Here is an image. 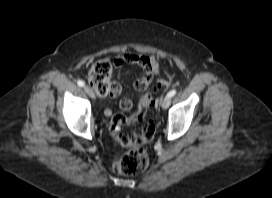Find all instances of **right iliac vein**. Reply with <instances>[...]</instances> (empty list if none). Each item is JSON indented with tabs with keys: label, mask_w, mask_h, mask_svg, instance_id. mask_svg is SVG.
<instances>
[{
	"label": "right iliac vein",
	"mask_w": 272,
	"mask_h": 198,
	"mask_svg": "<svg viewBox=\"0 0 272 198\" xmlns=\"http://www.w3.org/2000/svg\"><path fill=\"white\" fill-rule=\"evenodd\" d=\"M84 91L90 96L91 98H95V94L93 90L89 86L84 87Z\"/></svg>",
	"instance_id": "63e3f726"
}]
</instances>
